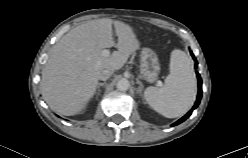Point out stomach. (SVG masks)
Masks as SVG:
<instances>
[{
    "instance_id": "0dacf381",
    "label": "stomach",
    "mask_w": 248,
    "mask_h": 158,
    "mask_svg": "<svg viewBox=\"0 0 248 158\" xmlns=\"http://www.w3.org/2000/svg\"><path fill=\"white\" fill-rule=\"evenodd\" d=\"M160 72V64L156 53L149 49L144 48L141 52V60H140V73L143 78L153 83L156 81Z\"/></svg>"
}]
</instances>
